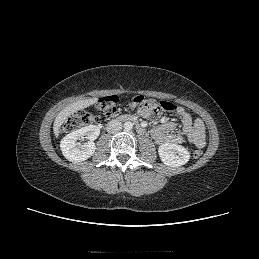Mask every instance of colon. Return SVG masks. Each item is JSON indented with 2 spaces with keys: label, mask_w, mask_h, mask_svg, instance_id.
I'll return each instance as SVG.
<instances>
[{
  "label": "colon",
  "mask_w": 259,
  "mask_h": 259,
  "mask_svg": "<svg viewBox=\"0 0 259 259\" xmlns=\"http://www.w3.org/2000/svg\"><path fill=\"white\" fill-rule=\"evenodd\" d=\"M119 99L117 96H107L98 100L96 108L99 113L105 117L114 115L117 111ZM131 106L138 107L148 115L159 114L163 111H170L176 108L171 102L156 101L153 99H145L143 96H135L130 102ZM100 118L89 112H76L72 114L63 124L62 131L65 133L72 132L81 127L90 126L98 123ZM202 151L197 149L193 152L195 159L200 158Z\"/></svg>",
  "instance_id": "1"
}]
</instances>
